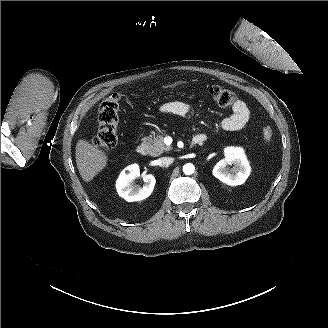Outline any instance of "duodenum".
<instances>
[{
	"label": "duodenum",
	"mask_w": 328,
	"mask_h": 328,
	"mask_svg": "<svg viewBox=\"0 0 328 328\" xmlns=\"http://www.w3.org/2000/svg\"><path fill=\"white\" fill-rule=\"evenodd\" d=\"M206 137L203 134H197L193 137L192 141H191V146H197L202 144L205 141ZM136 151L138 154L140 155H147L149 148L148 145L146 143H140L137 148Z\"/></svg>",
	"instance_id": "obj_1"
}]
</instances>
